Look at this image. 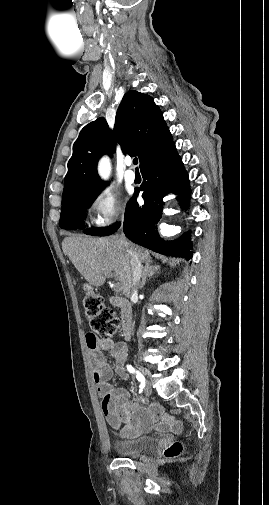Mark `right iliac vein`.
Listing matches in <instances>:
<instances>
[{"label": "right iliac vein", "instance_id": "1", "mask_svg": "<svg viewBox=\"0 0 269 505\" xmlns=\"http://www.w3.org/2000/svg\"><path fill=\"white\" fill-rule=\"evenodd\" d=\"M143 382L145 385L144 389H145L146 394L150 395L152 393V388H151L152 382L150 380H146V379H143Z\"/></svg>", "mask_w": 269, "mask_h": 505}]
</instances>
